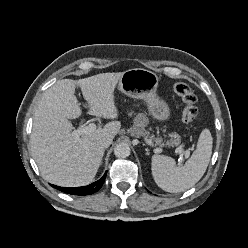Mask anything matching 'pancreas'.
Segmentation results:
<instances>
[{"instance_id": "cf45deb5", "label": "pancreas", "mask_w": 248, "mask_h": 248, "mask_svg": "<svg viewBox=\"0 0 248 248\" xmlns=\"http://www.w3.org/2000/svg\"><path fill=\"white\" fill-rule=\"evenodd\" d=\"M132 114V112H130V115ZM171 143L178 145L181 142V137L177 134V133H172L171 135ZM157 143L160 144L161 143V139H157Z\"/></svg>"}]
</instances>
